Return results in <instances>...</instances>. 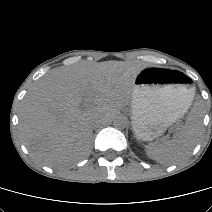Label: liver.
Listing matches in <instances>:
<instances>
[{"label":"liver","instance_id":"6515ba94","mask_svg":"<svg viewBox=\"0 0 212 212\" xmlns=\"http://www.w3.org/2000/svg\"><path fill=\"white\" fill-rule=\"evenodd\" d=\"M142 68L123 61L84 62L39 79L19 111V135L33 158L62 167L87 157L94 124L110 120L130 102ZM86 100L94 106L83 110Z\"/></svg>","mask_w":212,"mask_h":212}]
</instances>
